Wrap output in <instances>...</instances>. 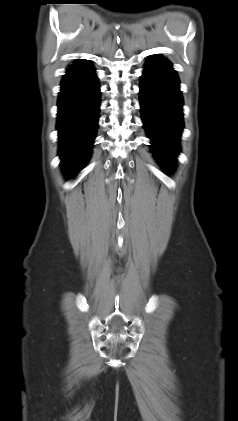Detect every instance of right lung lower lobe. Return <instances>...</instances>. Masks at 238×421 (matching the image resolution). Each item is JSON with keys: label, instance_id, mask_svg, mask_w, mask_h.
Masks as SVG:
<instances>
[{"label": "right lung lower lobe", "instance_id": "98d812e1", "mask_svg": "<svg viewBox=\"0 0 238 421\" xmlns=\"http://www.w3.org/2000/svg\"><path fill=\"white\" fill-rule=\"evenodd\" d=\"M100 91L95 71L85 60L70 65L58 98L59 155L72 177L88 161L99 118Z\"/></svg>", "mask_w": 238, "mask_h": 421}]
</instances>
